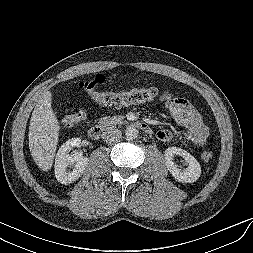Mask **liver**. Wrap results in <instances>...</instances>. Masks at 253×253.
<instances>
[{
	"instance_id": "liver-1",
	"label": "liver",
	"mask_w": 253,
	"mask_h": 253,
	"mask_svg": "<svg viewBox=\"0 0 253 253\" xmlns=\"http://www.w3.org/2000/svg\"><path fill=\"white\" fill-rule=\"evenodd\" d=\"M52 94L45 91L32 112L29 126V149L33 160L43 171L53 165L60 125L52 107Z\"/></svg>"
}]
</instances>
